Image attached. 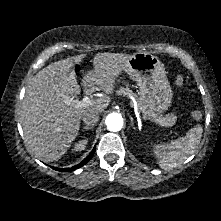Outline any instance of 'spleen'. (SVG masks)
<instances>
[{
    "instance_id": "3e777b00",
    "label": "spleen",
    "mask_w": 221,
    "mask_h": 221,
    "mask_svg": "<svg viewBox=\"0 0 221 221\" xmlns=\"http://www.w3.org/2000/svg\"><path fill=\"white\" fill-rule=\"evenodd\" d=\"M203 129L196 125L186 136L172 140L170 143H156L153 145V154L158 165L163 170H169L182 164L200 143Z\"/></svg>"
}]
</instances>
